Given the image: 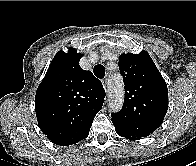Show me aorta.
I'll use <instances>...</instances> for the list:
<instances>
[{
	"mask_svg": "<svg viewBox=\"0 0 196 166\" xmlns=\"http://www.w3.org/2000/svg\"><path fill=\"white\" fill-rule=\"evenodd\" d=\"M124 86L121 76L114 74L110 78L108 86L109 108L113 111H119L123 105Z\"/></svg>",
	"mask_w": 196,
	"mask_h": 166,
	"instance_id": "1",
	"label": "aorta"
}]
</instances>
